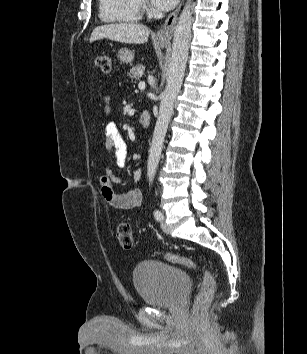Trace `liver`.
Listing matches in <instances>:
<instances>
[{
  "label": "liver",
  "mask_w": 307,
  "mask_h": 354,
  "mask_svg": "<svg viewBox=\"0 0 307 354\" xmlns=\"http://www.w3.org/2000/svg\"><path fill=\"white\" fill-rule=\"evenodd\" d=\"M150 29L137 23H114L96 27L90 37V42L101 39L128 44H143L148 41Z\"/></svg>",
  "instance_id": "obj_1"
}]
</instances>
